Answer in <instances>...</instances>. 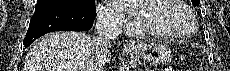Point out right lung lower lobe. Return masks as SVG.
I'll list each match as a JSON object with an SVG mask.
<instances>
[{
    "instance_id": "98d812e1",
    "label": "right lung lower lobe",
    "mask_w": 230,
    "mask_h": 71,
    "mask_svg": "<svg viewBox=\"0 0 230 71\" xmlns=\"http://www.w3.org/2000/svg\"><path fill=\"white\" fill-rule=\"evenodd\" d=\"M96 11L72 6H42L35 9L23 41L28 47L38 37L53 31H86L92 28Z\"/></svg>"
}]
</instances>
